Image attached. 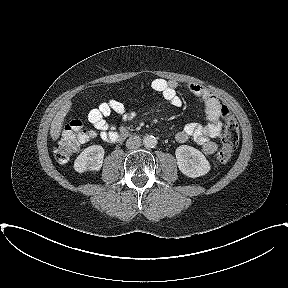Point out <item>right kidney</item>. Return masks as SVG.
Returning a JSON list of instances; mask_svg holds the SVG:
<instances>
[{"label": "right kidney", "instance_id": "obj_1", "mask_svg": "<svg viewBox=\"0 0 288 288\" xmlns=\"http://www.w3.org/2000/svg\"><path fill=\"white\" fill-rule=\"evenodd\" d=\"M104 149L100 145H92L83 150L76 158L74 168L77 172L99 171L102 167Z\"/></svg>", "mask_w": 288, "mask_h": 288}]
</instances>
